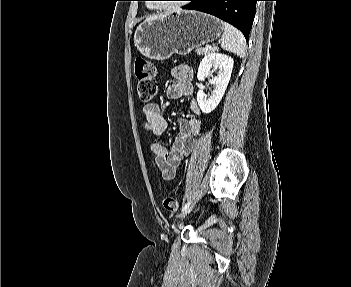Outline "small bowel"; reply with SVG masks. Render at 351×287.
I'll use <instances>...</instances> for the list:
<instances>
[{
  "instance_id": "small-bowel-1",
  "label": "small bowel",
  "mask_w": 351,
  "mask_h": 287,
  "mask_svg": "<svg viewBox=\"0 0 351 287\" xmlns=\"http://www.w3.org/2000/svg\"><path fill=\"white\" fill-rule=\"evenodd\" d=\"M171 73L175 82L168 86L167 97L170 99L191 98L194 93L191 68L181 65L174 67ZM189 109L192 116L179 120V134L170 147H166L160 141H155L150 145L155 163L165 180L175 177L184 157L190 154L195 147V137L200 132L201 121L199 107L193 99L189 103ZM164 112V108L158 103L147 104L143 108V128L155 136H161L167 128Z\"/></svg>"
}]
</instances>
